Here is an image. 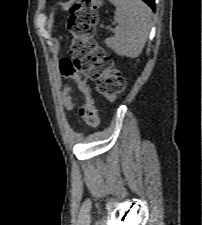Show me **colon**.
<instances>
[{"label":"colon","instance_id":"obj_1","mask_svg":"<svg viewBox=\"0 0 202 225\" xmlns=\"http://www.w3.org/2000/svg\"><path fill=\"white\" fill-rule=\"evenodd\" d=\"M99 3L100 0H77L72 7L67 28L71 38V59L60 65L63 76L72 78L82 93L83 102L78 114L91 127L99 124V117L88 79L97 80L98 92L109 101L115 100L125 87L112 57L93 39ZM63 100L66 107L71 106L68 93Z\"/></svg>","mask_w":202,"mask_h":225}]
</instances>
